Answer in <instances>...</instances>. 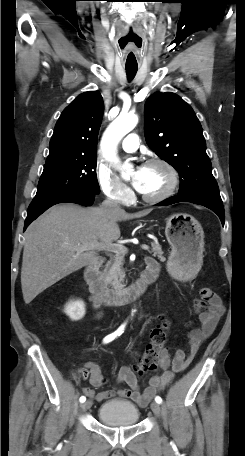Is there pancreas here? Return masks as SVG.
I'll return each mask as SVG.
<instances>
[{
  "mask_svg": "<svg viewBox=\"0 0 245 456\" xmlns=\"http://www.w3.org/2000/svg\"><path fill=\"white\" fill-rule=\"evenodd\" d=\"M150 253L157 257L161 262H165L164 252L161 246L156 242H151ZM126 252L118 251L115 255L110 256V260L107 262L103 272V276L107 284L112 286V289L119 290L123 285L125 274L123 272L124 255Z\"/></svg>",
  "mask_w": 245,
  "mask_h": 456,
  "instance_id": "1",
  "label": "pancreas"
}]
</instances>
